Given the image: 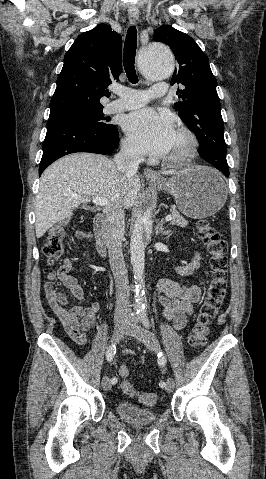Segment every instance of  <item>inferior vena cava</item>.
Returning <instances> with one entry per match:
<instances>
[{
  "instance_id": "1",
  "label": "inferior vena cava",
  "mask_w": 266,
  "mask_h": 479,
  "mask_svg": "<svg viewBox=\"0 0 266 479\" xmlns=\"http://www.w3.org/2000/svg\"><path fill=\"white\" fill-rule=\"evenodd\" d=\"M141 159L142 157L135 147L125 142L122 143L121 150L115 156L114 162L119 172L134 175L137 173ZM106 217L104 234L116 286L115 318L121 319L125 318L129 312L130 295L128 271L122 253L125 213L123 209L114 207L106 211Z\"/></svg>"
}]
</instances>
